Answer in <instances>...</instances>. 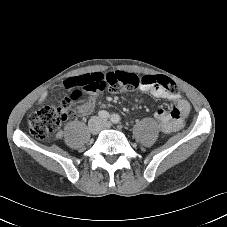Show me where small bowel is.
Instances as JSON below:
<instances>
[{
	"instance_id": "obj_1",
	"label": "small bowel",
	"mask_w": 227,
	"mask_h": 227,
	"mask_svg": "<svg viewBox=\"0 0 227 227\" xmlns=\"http://www.w3.org/2000/svg\"><path fill=\"white\" fill-rule=\"evenodd\" d=\"M63 89H81L85 93L102 94L110 90V83L107 81L105 72L87 71L83 75H75L73 78L61 80ZM140 89L149 92L157 99H164L174 103L169 110L159 109L155 118L159 122L161 131L165 134L180 130L184 126V119L190 111V105L185 98L178 93H170L159 85H141ZM95 106V98L90 97L80 106L78 114L87 116Z\"/></svg>"
}]
</instances>
